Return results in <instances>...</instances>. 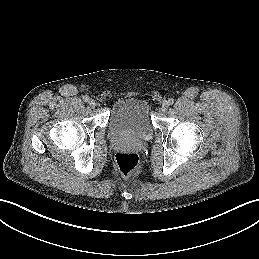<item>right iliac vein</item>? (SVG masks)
<instances>
[{
    "mask_svg": "<svg viewBox=\"0 0 259 259\" xmlns=\"http://www.w3.org/2000/svg\"><path fill=\"white\" fill-rule=\"evenodd\" d=\"M88 103H89L90 107H92V108H94L95 105H96V102H95V100H93V99H90V100L88 101Z\"/></svg>",
    "mask_w": 259,
    "mask_h": 259,
    "instance_id": "1",
    "label": "right iliac vein"
}]
</instances>
